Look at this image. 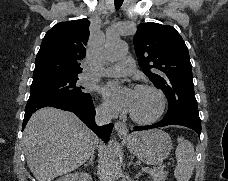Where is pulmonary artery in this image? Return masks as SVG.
<instances>
[{
	"mask_svg": "<svg viewBox=\"0 0 228 181\" xmlns=\"http://www.w3.org/2000/svg\"><path fill=\"white\" fill-rule=\"evenodd\" d=\"M112 41V40H108ZM107 46V44H106ZM121 61L123 62L122 65H112V69L107 70V72H117V70H124V71H136V63L131 62L132 58L127 57V58H121Z\"/></svg>",
	"mask_w": 228,
	"mask_h": 181,
	"instance_id": "pulmonary-artery-1",
	"label": "pulmonary artery"
}]
</instances>
